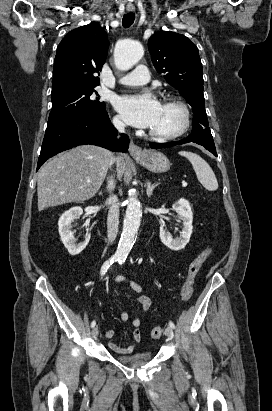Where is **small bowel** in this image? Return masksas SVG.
<instances>
[{
  "mask_svg": "<svg viewBox=\"0 0 272 411\" xmlns=\"http://www.w3.org/2000/svg\"><path fill=\"white\" fill-rule=\"evenodd\" d=\"M115 282L116 283H126L129 285V287L131 288V290L133 292H135L137 294L136 296V301L138 302V304L140 305V308L142 311H147L149 310V308L151 307V299L150 297H148L147 295L142 294V287L124 277V276H117L115 278ZM120 320L123 322H126L129 320V314L125 311L121 312L120 314ZM141 318L139 316L135 317L132 321V325H133V332H132V342L127 345V346H119L113 342H110L108 344L109 348L117 353L120 354H130L134 351V349L136 348L137 343L141 340ZM104 337L106 339H111L114 336V331L112 329H107L104 332Z\"/></svg>",
  "mask_w": 272,
  "mask_h": 411,
  "instance_id": "small-bowel-1",
  "label": "small bowel"
}]
</instances>
